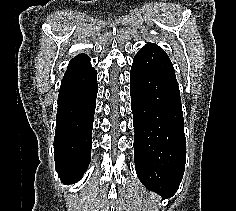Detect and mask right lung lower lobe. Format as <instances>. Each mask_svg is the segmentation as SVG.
Listing matches in <instances>:
<instances>
[{
	"label": "right lung lower lobe",
	"mask_w": 236,
	"mask_h": 211,
	"mask_svg": "<svg viewBox=\"0 0 236 211\" xmlns=\"http://www.w3.org/2000/svg\"><path fill=\"white\" fill-rule=\"evenodd\" d=\"M97 92V72L92 67L66 74L61 81L54 153L63 183L78 181L90 163Z\"/></svg>",
	"instance_id": "98d812e1"
}]
</instances>
